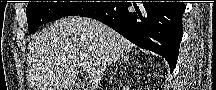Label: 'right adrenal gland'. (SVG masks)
Returning a JSON list of instances; mask_svg holds the SVG:
<instances>
[{
	"mask_svg": "<svg viewBox=\"0 0 216 90\" xmlns=\"http://www.w3.org/2000/svg\"><path fill=\"white\" fill-rule=\"evenodd\" d=\"M128 60H129L128 56H123L121 62H119V64H116L115 72H117V70H118L119 66H121V64H127ZM112 80H113V76H112L110 82H112Z\"/></svg>",
	"mask_w": 216,
	"mask_h": 90,
	"instance_id": "right-adrenal-gland-1",
	"label": "right adrenal gland"
}]
</instances>
